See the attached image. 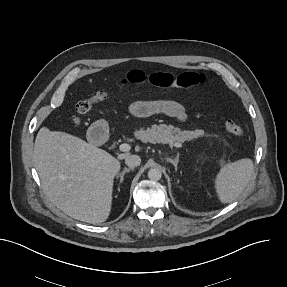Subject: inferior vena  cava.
<instances>
[{"instance_id": "1", "label": "inferior vena cava", "mask_w": 287, "mask_h": 287, "mask_svg": "<svg viewBox=\"0 0 287 287\" xmlns=\"http://www.w3.org/2000/svg\"><path fill=\"white\" fill-rule=\"evenodd\" d=\"M140 163H141V158L138 155H128L125 158V164L129 166L130 168L139 166Z\"/></svg>"}]
</instances>
